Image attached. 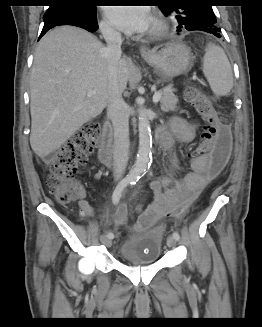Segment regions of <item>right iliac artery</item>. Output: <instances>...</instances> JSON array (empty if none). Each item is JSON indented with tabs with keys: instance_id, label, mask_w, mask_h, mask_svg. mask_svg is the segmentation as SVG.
Masks as SVG:
<instances>
[{
	"instance_id": "82829eb1",
	"label": "right iliac artery",
	"mask_w": 262,
	"mask_h": 327,
	"mask_svg": "<svg viewBox=\"0 0 262 327\" xmlns=\"http://www.w3.org/2000/svg\"><path fill=\"white\" fill-rule=\"evenodd\" d=\"M135 178H132V177H125L123 178L119 183L118 185L116 186L114 192H113V195H112V202L113 204L117 205L120 201V198L123 194V191L124 189L129 185V184H132L133 181H134ZM107 236L111 239L114 238V234L112 232H108L107 233Z\"/></svg>"
}]
</instances>
